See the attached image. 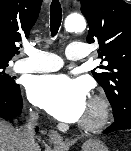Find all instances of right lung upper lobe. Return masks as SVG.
<instances>
[{
    "mask_svg": "<svg viewBox=\"0 0 131 151\" xmlns=\"http://www.w3.org/2000/svg\"><path fill=\"white\" fill-rule=\"evenodd\" d=\"M42 0H0V64H8L18 53L17 43L28 37Z\"/></svg>",
    "mask_w": 131,
    "mask_h": 151,
    "instance_id": "cb5924a9",
    "label": "right lung upper lobe"
}]
</instances>
